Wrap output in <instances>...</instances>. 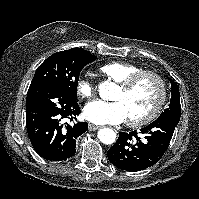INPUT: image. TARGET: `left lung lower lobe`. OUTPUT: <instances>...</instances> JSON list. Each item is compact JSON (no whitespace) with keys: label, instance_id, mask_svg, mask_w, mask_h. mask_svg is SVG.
<instances>
[{"label":"left lung lower lobe","instance_id":"0a47b994","mask_svg":"<svg viewBox=\"0 0 199 199\" xmlns=\"http://www.w3.org/2000/svg\"><path fill=\"white\" fill-rule=\"evenodd\" d=\"M179 121L158 118L138 132L119 133L117 142L109 149L108 159L116 167L136 172L157 163L167 150Z\"/></svg>","mask_w":199,"mask_h":199}]
</instances>
